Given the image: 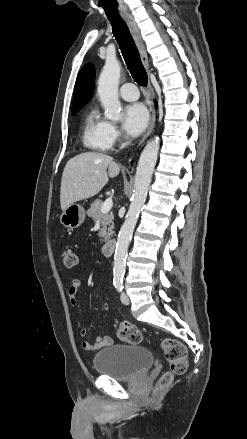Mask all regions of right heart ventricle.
Masks as SVG:
<instances>
[{"mask_svg": "<svg viewBox=\"0 0 247 439\" xmlns=\"http://www.w3.org/2000/svg\"><path fill=\"white\" fill-rule=\"evenodd\" d=\"M109 122L103 119L98 110L91 108L84 116L81 130L82 144L93 151H108L113 142L108 133Z\"/></svg>", "mask_w": 247, "mask_h": 439, "instance_id": "right-heart-ventricle-1", "label": "right heart ventricle"}]
</instances>
